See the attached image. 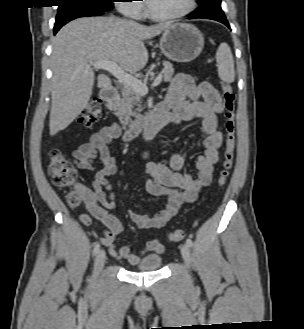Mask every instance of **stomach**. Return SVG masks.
I'll list each match as a JSON object with an SVG mask.
<instances>
[{
  "mask_svg": "<svg viewBox=\"0 0 304 329\" xmlns=\"http://www.w3.org/2000/svg\"><path fill=\"white\" fill-rule=\"evenodd\" d=\"M204 47L203 34L194 25L174 23L162 34L160 49L170 60L190 62L201 53Z\"/></svg>",
  "mask_w": 304,
  "mask_h": 329,
  "instance_id": "obj_1",
  "label": "stomach"
}]
</instances>
